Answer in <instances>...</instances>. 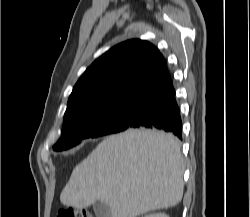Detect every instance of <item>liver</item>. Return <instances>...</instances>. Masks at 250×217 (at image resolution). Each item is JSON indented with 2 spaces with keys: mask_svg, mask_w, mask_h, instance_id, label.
<instances>
[{
  "mask_svg": "<svg viewBox=\"0 0 250 217\" xmlns=\"http://www.w3.org/2000/svg\"><path fill=\"white\" fill-rule=\"evenodd\" d=\"M183 173L176 137L128 129L104 139L73 169L60 201L80 209L99 201L109 206L111 217H136L179 204Z\"/></svg>",
  "mask_w": 250,
  "mask_h": 217,
  "instance_id": "6515ba94",
  "label": "liver"
}]
</instances>
